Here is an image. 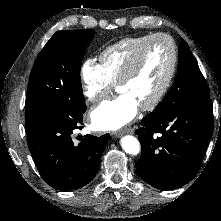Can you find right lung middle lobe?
Masks as SVG:
<instances>
[{"mask_svg":"<svg viewBox=\"0 0 221 221\" xmlns=\"http://www.w3.org/2000/svg\"><path fill=\"white\" fill-rule=\"evenodd\" d=\"M93 37V29L58 31L46 43L30 75L25 101L27 131L49 112L65 106L86 107L80 68Z\"/></svg>","mask_w":221,"mask_h":221,"instance_id":"obj_1","label":"right lung middle lobe"}]
</instances>
